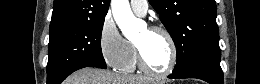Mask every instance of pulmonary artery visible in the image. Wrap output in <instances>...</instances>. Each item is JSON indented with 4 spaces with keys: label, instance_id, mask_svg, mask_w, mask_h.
I'll return each mask as SVG.
<instances>
[{
    "label": "pulmonary artery",
    "instance_id": "pulmonary-artery-1",
    "mask_svg": "<svg viewBox=\"0 0 260 84\" xmlns=\"http://www.w3.org/2000/svg\"><path fill=\"white\" fill-rule=\"evenodd\" d=\"M130 7L136 15L145 16L148 10V2L143 0L131 1Z\"/></svg>",
    "mask_w": 260,
    "mask_h": 84
}]
</instances>
